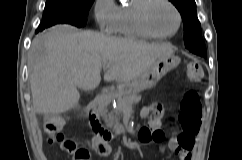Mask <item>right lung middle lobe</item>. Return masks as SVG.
Listing matches in <instances>:
<instances>
[{
  "label": "right lung middle lobe",
  "instance_id": "dd1d6c3e",
  "mask_svg": "<svg viewBox=\"0 0 242 160\" xmlns=\"http://www.w3.org/2000/svg\"><path fill=\"white\" fill-rule=\"evenodd\" d=\"M94 0H47L42 22L36 33L58 23L77 27L86 25V16Z\"/></svg>",
  "mask_w": 242,
  "mask_h": 160
}]
</instances>
